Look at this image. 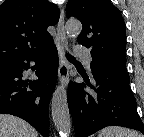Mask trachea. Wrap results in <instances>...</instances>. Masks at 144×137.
Returning a JSON list of instances; mask_svg holds the SVG:
<instances>
[{
	"label": "trachea",
	"mask_w": 144,
	"mask_h": 137,
	"mask_svg": "<svg viewBox=\"0 0 144 137\" xmlns=\"http://www.w3.org/2000/svg\"><path fill=\"white\" fill-rule=\"evenodd\" d=\"M69 60H75L71 55H67Z\"/></svg>",
	"instance_id": "trachea-1"
}]
</instances>
